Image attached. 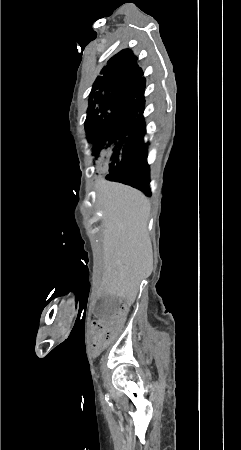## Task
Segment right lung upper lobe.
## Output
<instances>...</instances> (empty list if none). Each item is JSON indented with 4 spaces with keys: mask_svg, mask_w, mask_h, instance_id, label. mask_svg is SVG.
<instances>
[{
    "mask_svg": "<svg viewBox=\"0 0 241 450\" xmlns=\"http://www.w3.org/2000/svg\"><path fill=\"white\" fill-rule=\"evenodd\" d=\"M95 83L112 87L122 99L145 101V78L137 63V57L130 49H124L113 56L100 72Z\"/></svg>",
    "mask_w": 241,
    "mask_h": 450,
    "instance_id": "obj_1",
    "label": "right lung upper lobe"
}]
</instances>
